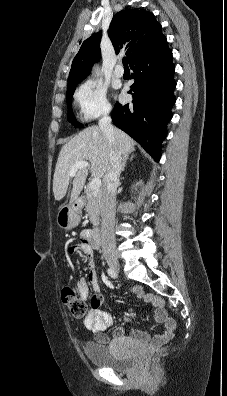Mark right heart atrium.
<instances>
[{
  "mask_svg": "<svg viewBox=\"0 0 227 396\" xmlns=\"http://www.w3.org/2000/svg\"><path fill=\"white\" fill-rule=\"evenodd\" d=\"M75 101L84 120L93 121L111 112L106 88L93 80L85 81L75 93Z\"/></svg>",
  "mask_w": 227,
  "mask_h": 396,
  "instance_id": "1",
  "label": "right heart atrium"
}]
</instances>
